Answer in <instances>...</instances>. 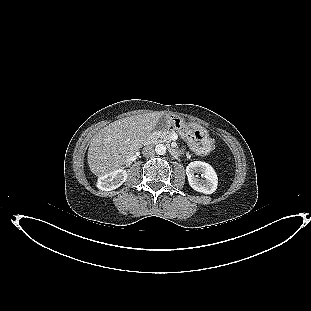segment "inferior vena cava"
I'll return each mask as SVG.
<instances>
[{"label":"inferior vena cava","mask_w":311,"mask_h":311,"mask_svg":"<svg viewBox=\"0 0 311 311\" xmlns=\"http://www.w3.org/2000/svg\"><path fill=\"white\" fill-rule=\"evenodd\" d=\"M142 153L145 157H150V156H153L155 154V151H154V148L152 145H148V146H145L143 148Z\"/></svg>","instance_id":"obj_1"}]
</instances>
